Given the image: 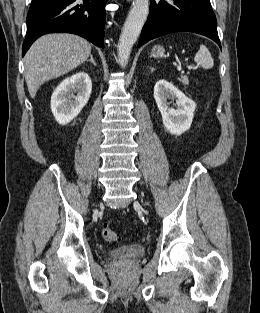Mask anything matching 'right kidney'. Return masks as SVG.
<instances>
[{
    "label": "right kidney",
    "mask_w": 260,
    "mask_h": 313,
    "mask_svg": "<svg viewBox=\"0 0 260 313\" xmlns=\"http://www.w3.org/2000/svg\"><path fill=\"white\" fill-rule=\"evenodd\" d=\"M91 91L92 82L85 72L64 79L51 96V111L55 120L61 125L71 122L87 104Z\"/></svg>",
    "instance_id": "1"
}]
</instances>
